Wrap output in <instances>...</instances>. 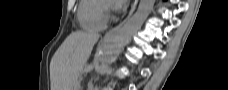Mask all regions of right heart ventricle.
Segmentation results:
<instances>
[{"mask_svg": "<svg viewBox=\"0 0 228 90\" xmlns=\"http://www.w3.org/2000/svg\"><path fill=\"white\" fill-rule=\"evenodd\" d=\"M105 1L82 0L78 9L80 25L90 31H102L106 27Z\"/></svg>", "mask_w": 228, "mask_h": 90, "instance_id": "right-heart-ventricle-1", "label": "right heart ventricle"}]
</instances>
